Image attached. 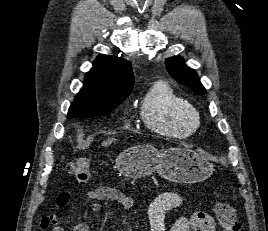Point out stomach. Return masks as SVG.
I'll return each instance as SVG.
<instances>
[{
  "label": "stomach",
  "instance_id": "0dacf381",
  "mask_svg": "<svg viewBox=\"0 0 268 231\" xmlns=\"http://www.w3.org/2000/svg\"><path fill=\"white\" fill-rule=\"evenodd\" d=\"M116 167L127 178L138 179L158 172L174 183L192 184L208 179L214 166L203 156L187 148L162 151L144 144L130 147L116 159Z\"/></svg>",
  "mask_w": 268,
  "mask_h": 231
}]
</instances>
